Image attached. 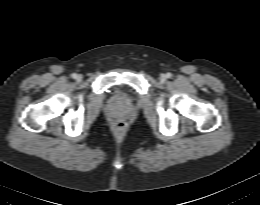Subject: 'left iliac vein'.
I'll use <instances>...</instances> for the list:
<instances>
[{
  "label": "left iliac vein",
  "mask_w": 260,
  "mask_h": 205,
  "mask_svg": "<svg viewBox=\"0 0 260 205\" xmlns=\"http://www.w3.org/2000/svg\"><path fill=\"white\" fill-rule=\"evenodd\" d=\"M160 80H161V82H164V81L166 80V76H165L164 74H162V75L160 76Z\"/></svg>",
  "instance_id": "obj_1"
}]
</instances>
